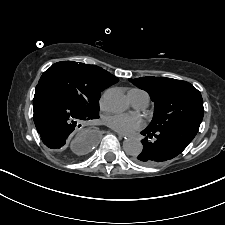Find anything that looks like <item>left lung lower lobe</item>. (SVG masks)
Masks as SVG:
<instances>
[{"mask_svg": "<svg viewBox=\"0 0 225 225\" xmlns=\"http://www.w3.org/2000/svg\"><path fill=\"white\" fill-rule=\"evenodd\" d=\"M199 126L200 124L187 123L158 132L144 129L141 132L145 136L141 141L143 150L134 160L142 165L157 166L173 159L193 140Z\"/></svg>", "mask_w": 225, "mask_h": 225, "instance_id": "0a47b994", "label": "left lung lower lobe"}]
</instances>
